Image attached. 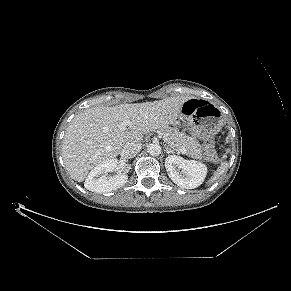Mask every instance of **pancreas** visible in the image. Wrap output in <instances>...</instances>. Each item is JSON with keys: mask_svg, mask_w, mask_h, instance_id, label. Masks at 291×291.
<instances>
[{"mask_svg": "<svg viewBox=\"0 0 291 291\" xmlns=\"http://www.w3.org/2000/svg\"><path fill=\"white\" fill-rule=\"evenodd\" d=\"M163 140L172 149L179 151L181 147L186 149V154L194 159H206L202 146L196 137L180 132L177 128L165 127L159 130Z\"/></svg>", "mask_w": 291, "mask_h": 291, "instance_id": "cf45deb5", "label": "pancreas"}]
</instances>
